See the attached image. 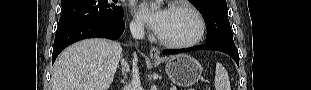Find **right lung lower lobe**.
<instances>
[{"mask_svg":"<svg viewBox=\"0 0 311 90\" xmlns=\"http://www.w3.org/2000/svg\"><path fill=\"white\" fill-rule=\"evenodd\" d=\"M123 20L109 21H85L57 31L54 41L52 62L58 54L68 45L86 38L118 39L124 32Z\"/></svg>","mask_w":311,"mask_h":90,"instance_id":"1","label":"right lung lower lobe"}]
</instances>
